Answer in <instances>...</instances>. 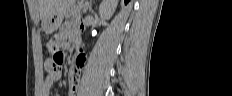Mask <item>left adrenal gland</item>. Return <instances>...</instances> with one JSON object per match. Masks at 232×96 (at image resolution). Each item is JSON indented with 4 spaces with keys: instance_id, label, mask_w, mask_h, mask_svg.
<instances>
[{
    "instance_id": "obj_1",
    "label": "left adrenal gland",
    "mask_w": 232,
    "mask_h": 96,
    "mask_svg": "<svg viewBox=\"0 0 232 96\" xmlns=\"http://www.w3.org/2000/svg\"><path fill=\"white\" fill-rule=\"evenodd\" d=\"M92 1H90V5H89V11L91 12L92 11V4H91Z\"/></svg>"
}]
</instances>
